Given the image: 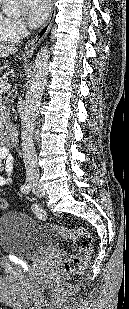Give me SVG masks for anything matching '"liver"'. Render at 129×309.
<instances>
[{"instance_id":"6515ba94","label":"liver","mask_w":129,"mask_h":309,"mask_svg":"<svg viewBox=\"0 0 129 309\" xmlns=\"http://www.w3.org/2000/svg\"><path fill=\"white\" fill-rule=\"evenodd\" d=\"M18 51V48L14 45H10L7 43H0V58L8 57Z\"/></svg>"}]
</instances>
